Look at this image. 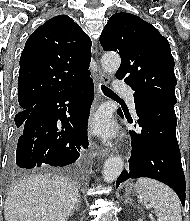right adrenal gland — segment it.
I'll return each mask as SVG.
<instances>
[{"instance_id": "1", "label": "right adrenal gland", "mask_w": 190, "mask_h": 221, "mask_svg": "<svg viewBox=\"0 0 190 221\" xmlns=\"http://www.w3.org/2000/svg\"><path fill=\"white\" fill-rule=\"evenodd\" d=\"M80 208H81V198H80V196H78V199H77L75 206L72 210L71 216L74 214L75 211H78Z\"/></svg>"}]
</instances>
